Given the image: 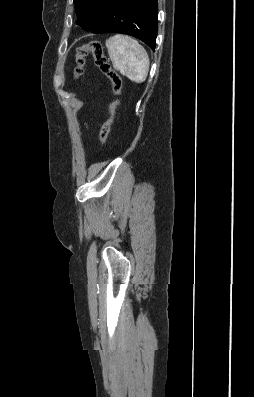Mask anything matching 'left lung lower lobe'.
<instances>
[{"instance_id":"left-lung-lower-lobe-1","label":"left lung lower lobe","mask_w":254,"mask_h":397,"mask_svg":"<svg viewBox=\"0 0 254 397\" xmlns=\"http://www.w3.org/2000/svg\"><path fill=\"white\" fill-rule=\"evenodd\" d=\"M102 21L93 33L116 32L132 35L152 50L158 29L157 0H107Z\"/></svg>"}]
</instances>
